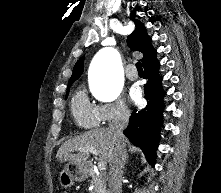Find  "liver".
<instances>
[{
  "instance_id": "6515ba94",
  "label": "liver",
  "mask_w": 221,
  "mask_h": 193,
  "mask_svg": "<svg viewBox=\"0 0 221 193\" xmlns=\"http://www.w3.org/2000/svg\"><path fill=\"white\" fill-rule=\"evenodd\" d=\"M80 148H95L99 153L100 160L105 164H110L115 153L114 134L110 128L85 132L64 142L59 148L56 158L61 163L69 162L84 166L89 158V152H81Z\"/></svg>"
}]
</instances>
